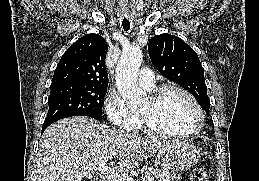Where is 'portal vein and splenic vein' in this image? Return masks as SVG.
Instances as JSON below:
<instances>
[{
	"label": "portal vein and splenic vein",
	"instance_id": "18ae733b",
	"mask_svg": "<svg viewBox=\"0 0 259 181\" xmlns=\"http://www.w3.org/2000/svg\"><path fill=\"white\" fill-rule=\"evenodd\" d=\"M109 159V157H106V161ZM99 172L101 173L102 177L106 178L108 181H135L131 176H128L127 174H119L115 171H113L111 168L106 167L105 165H102L99 168ZM143 181H153L152 178H144Z\"/></svg>",
	"mask_w": 259,
	"mask_h": 181
}]
</instances>
